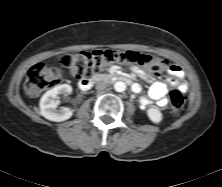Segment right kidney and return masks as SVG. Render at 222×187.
<instances>
[{
  "label": "right kidney",
  "instance_id": "1",
  "mask_svg": "<svg viewBox=\"0 0 222 187\" xmlns=\"http://www.w3.org/2000/svg\"><path fill=\"white\" fill-rule=\"evenodd\" d=\"M72 92V87L68 84L58 85L47 91L40 99V113L43 117L50 121H65L73 115V111L69 108L62 107L57 109L59 105L58 95H68Z\"/></svg>",
  "mask_w": 222,
  "mask_h": 187
}]
</instances>
